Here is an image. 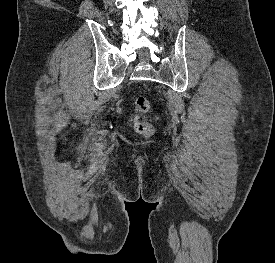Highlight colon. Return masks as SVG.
Wrapping results in <instances>:
<instances>
[{"instance_id":"obj_1","label":"colon","mask_w":275,"mask_h":263,"mask_svg":"<svg viewBox=\"0 0 275 263\" xmlns=\"http://www.w3.org/2000/svg\"><path fill=\"white\" fill-rule=\"evenodd\" d=\"M134 110V130L142 136H150L153 133V126L147 119V114L151 110L150 100L143 96L137 97L134 101Z\"/></svg>"}]
</instances>
